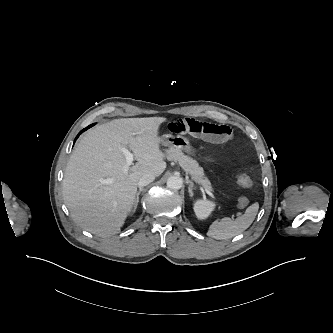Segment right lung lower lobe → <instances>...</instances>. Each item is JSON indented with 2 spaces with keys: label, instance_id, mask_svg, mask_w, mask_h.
<instances>
[{
  "label": "right lung lower lobe",
  "instance_id": "1",
  "mask_svg": "<svg viewBox=\"0 0 333 333\" xmlns=\"http://www.w3.org/2000/svg\"><path fill=\"white\" fill-rule=\"evenodd\" d=\"M94 124L89 125L87 128L83 129L82 131H80V133L77 135V137L75 139H77L79 137V135L84 132L85 130H87L88 128L92 127Z\"/></svg>",
  "mask_w": 333,
  "mask_h": 333
}]
</instances>
